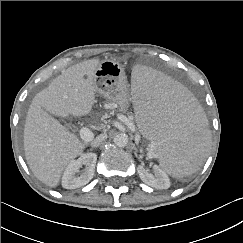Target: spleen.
Listing matches in <instances>:
<instances>
[{
	"label": "spleen",
	"mask_w": 243,
	"mask_h": 243,
	"mask_svg": "<svg viewBox=\"0 0 243 243\" xmlns=\"http://www.w3.org/2000/svg\"><path fill=\"white\" fill-rule=\"evenodd\" d=\"M131 108L137 131L171 175H188L208 152L207 122L178 81L147 67L131 74Z\"/></svg>",
	"instance_id": "1"
}]
</instances>
